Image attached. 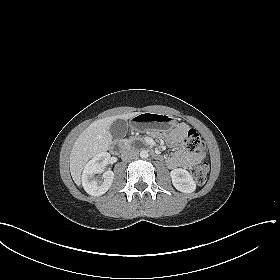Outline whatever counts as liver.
<instances>
[{"label": "liver", "instance_id": "liver-1", "mask_svg": "<svg viewBox=\"0 0 280 280\" xmlns=\"http://www.w3.org/2000/svg\"><path fill=\"white\" fill-rule=\"evenodd\" d=\"M139 114L132 112L99 119L91 123L76 139L70 153V172L74 182L81 184V173L89 159L108 150L112 142L109 131L116 119L128 120Z\"/></svg>", "mask_w": 280, "mask_h": 280}]
</instances>
